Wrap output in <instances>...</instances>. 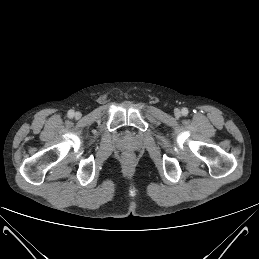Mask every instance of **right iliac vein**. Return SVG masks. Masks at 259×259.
<instances>
[{
    "label": "right iliac vein",
    "instance_id": "1",
    "mask_svg": "<svg viewBox=\"0 0 259 259\" xmlns=\"http://www.w3.org/2000/svg\"><path fill=\"white\" fill-rule=\"evenodd\" d=\"M75 117H76V118H80V117H81V113H80V112H76V113H75Z\"/></svg>",
    "mask_w": 259,
    "mask_h": 259
}]
</instances>
